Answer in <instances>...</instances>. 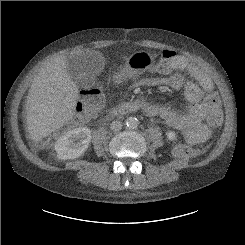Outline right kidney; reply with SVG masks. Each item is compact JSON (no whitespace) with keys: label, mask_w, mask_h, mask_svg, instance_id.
I'll return each mask as SVG.
<instances>
[{"label":"right kidney","mask_w":245,"mask_h":245,"mask_svg":"<svg viewBox=\"0 0 245 245\" xmlns=\"http://www.w3.org/2000/svg\"><path fill=\"white\" fill-rule=\"evenodd\" d=\"M91 141V131L87 127H80L68 131L57 140L54 149L57 157L62 160L75 159L84 154Z\"/></svg>","instance_id":"ca27d5eb"}]
</instances>
